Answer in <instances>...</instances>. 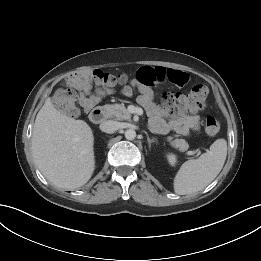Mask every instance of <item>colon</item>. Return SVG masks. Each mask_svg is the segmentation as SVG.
Listing matches in <instances>:
<instances>
[{"label": "colon", "mask_w": 261, "mask_h": 261, "mask_svg": "<svg viewBox=\"0 0 261 261\" xmlns=\"http://www.w3.org/2000/svg\"><path fill=\"white\" fill-rule=\"evenodd\" d=\"M128 81L124 74L114 75L95 70L90 74V90L98 94L110 92L118 85H124ZM208 90L204 85H196L187 93L166 92L162 96L164 107L170 112H191L204 108ZM56 107L69 116L77 114L76 93L71 84L57 90L54 96ZM220 129L219 121L209 115L205 118V131L209 135H215Z\"/></svg>", "instance_id": "5ec220e1"}]
</instances>
